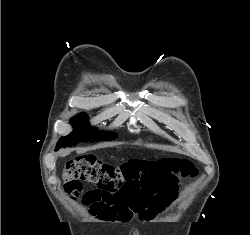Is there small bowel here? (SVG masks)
<instances>
[{"label": "small bowel", "instance_id": "1", "mask_svg": "<svg viewBox=\"0 0 250 235\" xmlns=\"http://www.w3.org/2000/svg\"><path fill=\"white\" fill-rule=\"evenodd\" d=\"M175 186L158 188L154 191L140 190L133 198V206L137 214L147 219H154L170 207L175 201Z\"/></svg>", "mask_w": 250, "mask_h": 235}]
</instances>
